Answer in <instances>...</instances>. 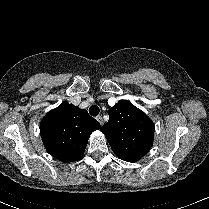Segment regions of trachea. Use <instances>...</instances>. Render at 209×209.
<instances>
[{"label":"trachea","mask_w":209,"mask_h":209,"mask_svg":"<svg viewBox=\"0 0 209 209\" xmlns=\"http://www.w3.org/2000/svg\"><path fill=\"white\" fill-rule=\"evenodd\" d=\"M100 112V109L98 106L96 105H93L89 108V113L92 115V116H97Z\"/></svg>","instance_id":"obj_1"}]
</instances>
